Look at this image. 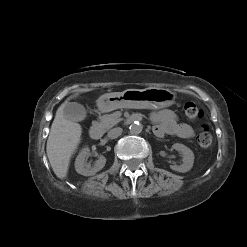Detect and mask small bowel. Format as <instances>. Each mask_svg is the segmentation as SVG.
Listing matches in <instances>:
<instances>
[{
  "label": "small bowel",
  "mask_w": 247,
  "mask_h": 247,
  "mask_svg": "<svg viewBox=\"0 0 247 247\" xmlns=\"http://www.w3.org/2000/svg\"><path fill=\"white\" fill-rule=\"evenodd\" d=\"M151 120L154 123V133L158 137L175 135L189 139L194 136L193 128L188 124L179 122L176 114L170 110H161L152 113Z\"/></svg>",
  "instance_id": "1"
}]
</instances>
